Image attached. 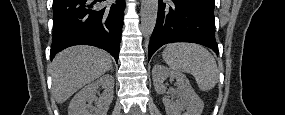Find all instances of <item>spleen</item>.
<instances>
[{
	"label": "spleen",
	"instance_id": "1",
	"mask_svg": "<svg viewBox=\"0 0 285 115\" xmlns=\"http://www.w3.org/2000/svg\"><path fill=\"white\" fill-rule=\"evenodd\" d=\"M162 57L173 71L192 74L201 91L211 90L218 82L219 71L214 57L198 44H168Z\"/></svg>",
	"mask_w": 285,
	"mask_h": 115
}]
</instances>
